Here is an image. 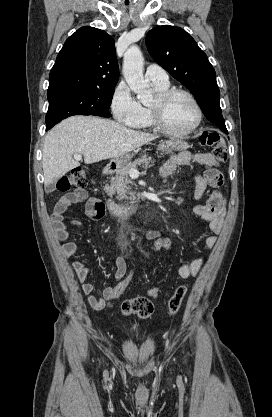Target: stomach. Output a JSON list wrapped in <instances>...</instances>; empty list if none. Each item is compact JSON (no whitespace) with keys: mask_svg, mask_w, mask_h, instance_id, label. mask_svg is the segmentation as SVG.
Masks as SVG:
<instances>
[{"mask_svg":"<svg viewBox=\"0 0 272 417\" xmlns=\"http://www.w3.org/2000/svg\"><path fill=\"white\" fill-rule=\"evenodd\" d=\"M187 148V143L181 140H169L163 141L161 144L158 145V150L161 154L170 153L173 150H184ZM133 154H123L119 157L112 159L111 165L116 169H120L124 167L127 163H129L130 159L132 158Z\"/></svg>","mask_w":272,"mask_h":417,"instance_id":"0dacf381","label":"stomach"}]
</instances>
